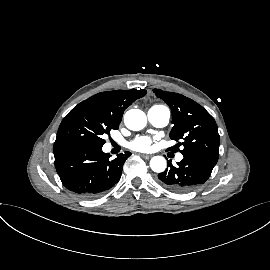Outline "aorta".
Instances as JSON below:
<instances>
[{
	"label": "aorta",
	"instance_id": "1",
	"mask_svg": "<svg viewBox=\"0 0 270 270\" xmlns=\"http://www.w3.org/2000/svg\"><path fill=\"white\" fill-rule=\"evenodd\" d=\"M126 127L133 131L142 130L147 123V117L142 110L130 109L124 115ZM166 160L162 156H154L150 160V167L154 172H163L166 168Z\"/></svg>",
	"mask_w": 270,
	"mask_h": 270
}]
</instances>
